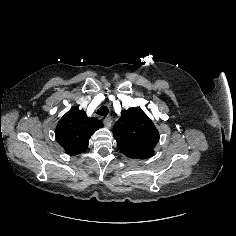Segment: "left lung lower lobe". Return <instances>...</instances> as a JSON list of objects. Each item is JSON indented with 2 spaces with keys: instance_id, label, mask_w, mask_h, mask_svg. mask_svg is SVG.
Segmentation results:
<instances>
[{
  "instance_id": "obj_1",
  "label": "left lung lower lobe",
  "mask_w": 236,
  "mask_h": 236,
  "mask_svg": "<svg viewBox=\"0 0 236 236\" xmlns=\"http://www.w3.org/2000/svg\"><path fill=\"white\" fill-rule=\"evenodd\" d=\"M121 152L130 157L135 159H147L153 156V152L148 151H137V150H127V149H121Z\"/></svg>"
}]
</instances>
